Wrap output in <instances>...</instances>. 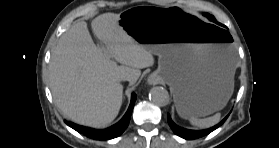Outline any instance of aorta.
I'll return each instance as SVG.
<instances>
[{"label": "aorta", "mask_w": 279, "mask_h": 148, "mask_svg": "<svg viewBox=\"0 0 279 148\" xmlns=\"http://www.w3.org/2000/svg\"><path fill=\"white\" fill-rule=\"evenodd\" d=\"M149 98L158 106H166L170 101L168 91L161 86L153 87L150 90Z\"/></svg>", "instance_id": "aorta-1"}]
</instances>
